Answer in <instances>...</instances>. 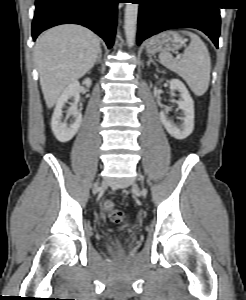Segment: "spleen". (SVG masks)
<instances>
[{
  "label": "spleen",
  "instance_id": "3e777b00",
  "mask_svg": "<svg viewBox=\"0 0 246 300\" xmlns=\"http://www.w3.org/2000/svg\"><path fill=\"white\" fill-rule=\"evenodd\" d=\"M190 37L191 42L177 61L168 52L159 54V61L169 70L186 81L196 96H202L210 82L211 60L209 51L201 38L189 31H181Z\"/></svg>",
  "mask_w": 246,
  "mask_h": 300
}]
</instances>
